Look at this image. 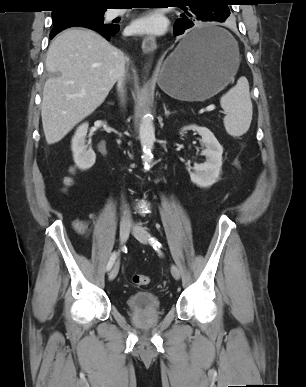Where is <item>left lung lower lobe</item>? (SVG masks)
Here are the masks:
<instances>
[{"label": "left lung lower lobe", "instance_id": "1", "mask_svg": "<svg viewBox=\"0 0 306 387\" xmlns=\"http://www.w3.org/2000/svg\"><path fill=\"white\" fill-rule=\"evenodd\" d=\"M194 23L188 18L177 19L174 24L173 34L179 36L184 34L183 49L184 51H192L202 46L209 45L223 38L221 32L207 29L196 32H188V29L193 27Z\"/></svg>", "mask_w": 306, "mask_h": 387}]
</instances>
